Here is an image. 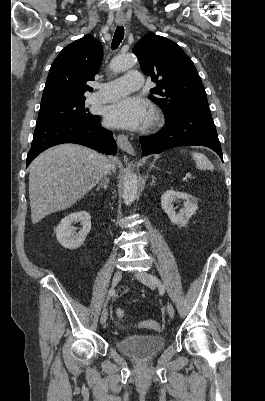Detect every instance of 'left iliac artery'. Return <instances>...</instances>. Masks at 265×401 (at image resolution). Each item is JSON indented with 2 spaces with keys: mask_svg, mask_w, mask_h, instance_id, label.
<instances>
[{
  "mask_svg": "<svg viewBox=\"0 0 265 401\" xmlns=\"http://www.w3.org/2000/svg\"><path fill=\"white\" fill-rule=\"evenodd\" d=\"M154 283L157 284L159 288L164 289L163 285L157 277H154Z\"/></svg>",
  "mask_w": 265,
  "mask_h": 401,
  "instance_id": "1",
  "label": "left iliac artery"
}]
</instances>
